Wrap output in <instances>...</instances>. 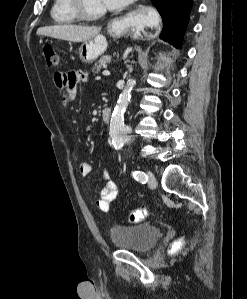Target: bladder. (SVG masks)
Returning <instances> with one entry per match:
<instances>
[{
    "instance_id": "obj_1",
    "label": "bladder",
    "mask_w": 247,
    "mask_h": 299,
    "mask_svg": "<svg viewBox=\"0 0 247 299\" xmlns=\"http://www.w3.org/2000/svg\"><path fill=\"white\" fill-rule=\"evenodd\" d=\"M112 244L117 249L136 253L150 251L162 236L159 227L148 223L131 226H114L109 231Z\"/></svg>"
}]
</instances>
